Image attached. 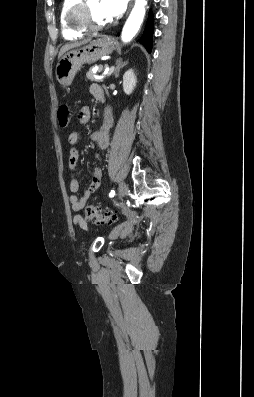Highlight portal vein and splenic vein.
<instances>
[{
	"instance_id": "18ae733b",
	"label": "portal vein and splenic vein",
	"mask_w": 254,
	"mask_h": 397,
	"mask_svg": "<svg viewBox=\"0 0 254 397\" xmlns=\"http://www.w3.org/2000/svg\"><path fill=\"white\" fill-rule=\"evenodd\" d=\"M113 70H114V66H112V67L109 68V69H106V70L104 71V75L101 76V77H98V79H101V78H103V77H105V76H109V75L113 72Z\"/></svg>"
}]
</instances>
